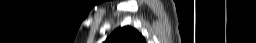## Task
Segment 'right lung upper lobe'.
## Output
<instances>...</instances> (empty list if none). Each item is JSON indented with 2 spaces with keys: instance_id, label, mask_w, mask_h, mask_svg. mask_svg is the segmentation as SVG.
I'll return each mask as SVG.
<instances>
[{
  "instance_id": "right-lung-upper-lobe-1",
  "label": "right lung upper lobe",
  "mask_w": 256,
  "mask_h": 43,
  "mask_svg": "<svg viewBox=\"0 0 256 43\" xmlns=\"http://www.w3.org/2000/svg\"><path fill=\"white\" fill-rule=\"evenodd\" d=\"M104 43H146V41L136 29L125 26L115 30Z\"/></svg>"
}]
</instances>
